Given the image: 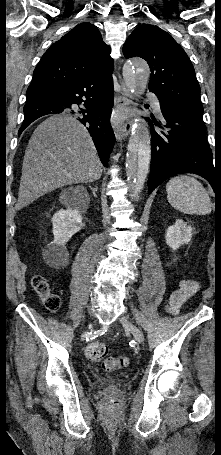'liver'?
<instances>
[{
  "instance_id": "6515ba94",
  "label": "liver",
  "mask_w": 221,
  "mask_h": 455,
  "mask_svg": "<svg viewBox=\"0 0 221 455\" xmlns=\"http://www.w3.org/2000/svg\"><path fill=\"white\" fill-rule=\"evenodd\" d=\"M101 175L102 164L87 129L71 116H50L29 140L15 209L59 187L92 182Z\"/></svg>"
}]
</instances>
